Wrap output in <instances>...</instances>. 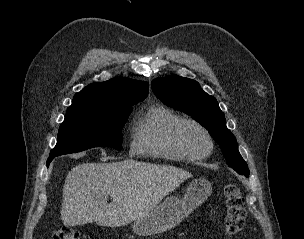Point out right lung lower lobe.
I'll use <instances>...</instances> for the list:
<instances>
[{
    "label": "right lung lower lobe",
    "instance_id": "right-lung-lower-lobe-1",
    "mask_svg": "<svg viewBox=\"0 0 304 239\" xmlns=\"http://www.w3.org/2000/svg\"><path fill=\"white\" fill-rule=\"evenodd\" d=\"M54 156H50L47 160V166H49V163L54 159Z\"/></svg>",
    "mask_w": 304,
    "mask_h": 239
}]
</instances>
